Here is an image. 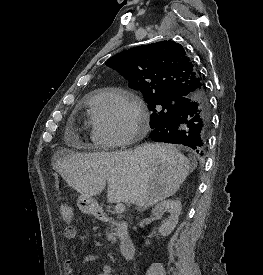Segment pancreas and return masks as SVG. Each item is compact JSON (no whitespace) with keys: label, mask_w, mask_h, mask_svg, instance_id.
Listing matches in <instances>:
<instances>
[{"label":"pancreas","mask_w":263,"mask_h":275,"mask_svg":"<svg viewBox=\"0 0 263 275\" xmlns=\"http://www.w3.org/2000/svg\"><path fill=\"white\" fill-rule=\"evenodd\" d=\"M108 240L114 243L116 241L115 233L114 232H109L107 233Z\"/></svg>","instance_id":"pancreas-1"}]
</instances>
